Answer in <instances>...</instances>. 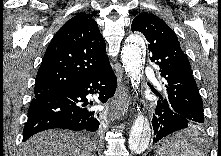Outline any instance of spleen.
<instances>
[{"mask_svg":"<svg viewBox=\"0 0 221 156\" xmlns=\"http://www.w3.org/2000/svg\"><path fill=\"white\" fill-rule=\"evenodd\" d=\"M164 156H201L202 152L182 139H172L161 148Z\"/></svg>","mask_w":221,"mask_h":156,"instance_id":"3e777b00","label":"spleen"}]
</instances>
